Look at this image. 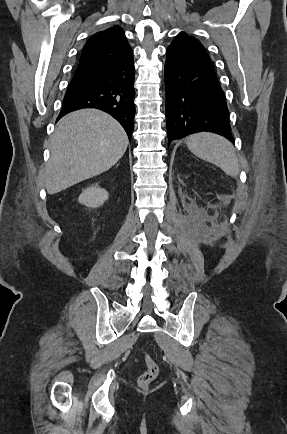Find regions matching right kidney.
<instances>
[{
  "label": "right kidney",
  "mask_w": 287,
  "mask_h": 434,
  "mask_svg": "<svg viewBox=\"0 0 287 434\" xmlns=\"http://www.w3.org/2000/svg\"><path fill=\"white\" fill-rule=\"evenodd\" d=\"M108 199V192L99 186H90L82 191L78 202L87 207L96 208L104 204Z\"/></svg>",
  "instance_id": "obj_1"
}]
</instances>
